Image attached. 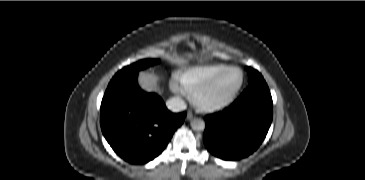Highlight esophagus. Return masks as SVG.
<instances>
[{"label": "esophagus", "instance_id": "34e87169", "mask_svg": "<svg viewBox=\"0 0 365 180\" xmlns=\"http://www.w3.org/2000/svg\"><path fill=\"white\" fill-rule=\"evenodd\" d=\"M193 117H194L193 113H192V112H190V111H188V112H187V115H186V119H187V120H191V119H193Z\"/></svg>", "mask_w": 365, "mask_h": 180}]
</instances>
